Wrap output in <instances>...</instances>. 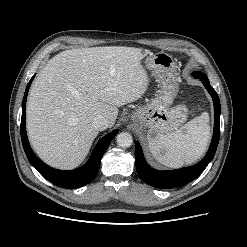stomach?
<instances>
[{
	"mask_svg": "<svg viewBox=\"0 0 247 247\" xmlns=\"http://www.w3.org/2000/svg\"><path fill=\"white\" fill-rule=\"evenodd\" d=\"M146 66L157 75L160 90L157 96L130 115V120L140 130L148 128L147 138L156 134H169L181 126L186 118V108L172 106L178 92V78L172 56L160 52L146 58Z\"/></svg>",
	"mask_w": 247,
	"mask_h": 247,
	"instance_id": "0dacf381",
	"label": "stomach"
}]
</instances>
